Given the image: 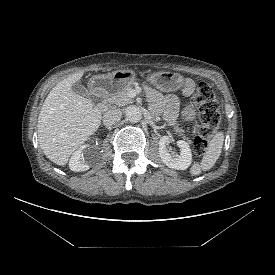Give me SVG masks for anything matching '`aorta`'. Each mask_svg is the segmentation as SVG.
Segmentation results:
<instances>
[{
	"instance_id": "762f6f07",
	"label": "aorta",
	"mask_w": 275,
	"mask_h": 275,
	"mask_svg": "<svg viewBox=\"0 0 275 275\" xmlns=\"http://www.w3.org/2000/svg\"><path fill=\"white\" fill-rule=\"evenodd\" d=\"M125 115L127 119L131 122H138L142 118L141 110L134 105L128 106L125 110Z\"/></svg>"
}]
</instances>
